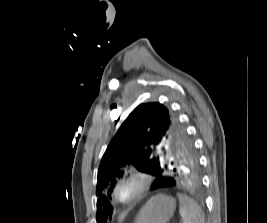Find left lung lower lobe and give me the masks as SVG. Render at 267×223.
Wrapping results in <instances>:
<instances>
[{
    "label": "left lung lower lobe",
    "mask_w": 267,
    "mask_h": 223,
    "mask_svg": "<svg viewBox=\"0 0 267 223\" xmlns=\"http://www.w3.org/2000/svg\"><path fill=\"white\" fill-rule=\"evenodd\" d=\"M201 171H169L168 173H155L158 178L152 185V192H165L166 194H183L184 189H199Z\"/></svg>",
    "instance_id": "0a47b994"
}]
</instances>
